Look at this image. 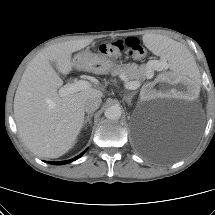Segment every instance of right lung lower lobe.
<instances>
[{
    "instance_id": "right-lung-lower-lobe-1",
    "label": "right lung lower lobe",
    "mask_w": 215,
    "mask_h": 215,
    "mask_svg": "<svg viewBox=\"0 0 215 215\" xmlns=\"http://www.w3.org/2000/svg\"><path fill=\"white\" fill-rule=\"evenodd\" d=\"M85 151H86V150H85ZM85 151H83L80 155H78V156H76L75 158L70 159V160H66V161H57V162H49V161H48V163L54 164V165H63V164H67V163H70V162H72V161H74V160L80 158V157L85 153Z\"/></svg>"
}]
</instances>
